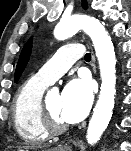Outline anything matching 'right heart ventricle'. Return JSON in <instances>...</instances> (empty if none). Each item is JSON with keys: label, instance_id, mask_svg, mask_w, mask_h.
Returning <instances> with one entry per match:
<instances>
[{"label": "right heart ventricle", "instance_id": "e07e8e85", "mask_svg": "<svg viewBox=\"0 0 131 151\" xmlns=\"http://www.w3.org/2000/svg\"><path fill=\"white\" fill-rule=\"evenodd\" d=\"M49 84L36 76L18 90L13 105V124L19 137L29 143L43 142L49 137L42 117L41 103Z\"/></svg>", "mask_w": 131, "mask_h": 151}]
</instances>
